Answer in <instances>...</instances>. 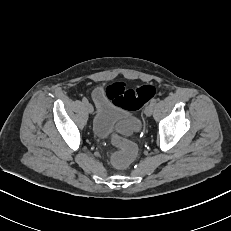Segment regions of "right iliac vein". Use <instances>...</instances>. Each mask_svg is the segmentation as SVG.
Masks as SVG:
<instances>
[{
    "mask_svg": "<svg viewBox=\"0 0 231 231\" xmlns=\"http://www.w3.org/2000/svg\"><path fill=\"white\" fill-rule=\"evenodd\" d=\"M85 106L87 111L92 114L94 111L93 106L90 103H86Z\"/></svg>",
    "mask_w": 231,
    "mask_h": 231,
    "instance_id": "right-iliac-vein-1",
    "label": "right iliac vein"
}]
</instances>
